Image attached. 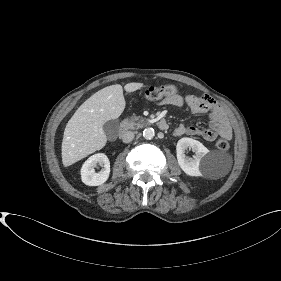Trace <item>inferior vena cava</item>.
Segmentation results:
<instances>
[{
    "label": "inferior vena cava",
    "mask_w": 281,
    "mask_h": 281,
    "mask_svg": "<svg viewBox=\"0 0 281 281\" xmlns=\"http://www.w3.org/2000/svg\"><path fill=\"white\" fill-rule=\"evenodd\" d=\"M124 143H129L134 139V133L132 131H126L121 135Z\"/></svg>",
    "instance_id": "602c4592"
}]
</instances>
